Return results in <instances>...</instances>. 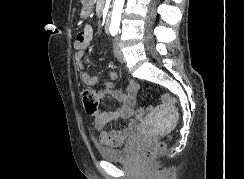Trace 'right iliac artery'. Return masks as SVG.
Masks as SVG:
<instances>
[{
  "mask_svg": "<svg viewBox=\"0 0 244 179\" xmlns=\"http://www.w3.org/2000/svg\"><path fill=\"white\" fill-rule=\"evenodd\" d=\"M116 33L115 32H112L111 35L114 36Z\"/></svg>",
  "mask_w": 244,
  "mask_h": 179,
  "instance_id": "right-iliac-artery-1",
  "label": "right iliac artery"
}]
</instances>
